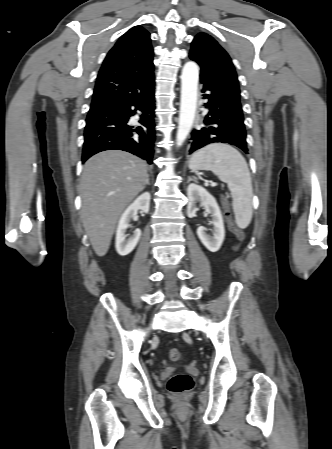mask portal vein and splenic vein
<instances>
[{
    "mask_svg": "<svg viewBox=\"0 0 332 449\" xmlns=\"http://www.w3.org/2000/svg\"><path fill=\"white\" fill-rule=\"evenodd\" d=\"M216 185H217V184H216V183H214V182H212V183H211V186H216Z\"/></svg>",
    "mask_w": 332,
    "mask_h": 449,
    "instance_id": "obj_1",
    "label": "portal vein and splenic vein"
}]
</instances>
